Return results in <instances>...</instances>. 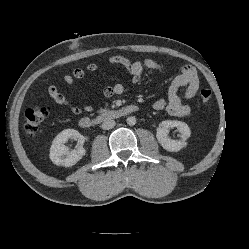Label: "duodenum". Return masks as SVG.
I'll use <instances>...</instances> for the list:
<instances>
[{
    "mask_svg": "<svg viewBox=\"0 0 249 249\" xmlns=\"http://www.w3.org/2000/svg\"><path fill=\"white\" fill-rule=\"evenodd\" d=\"M137 111H139L138 105H127L116 110L102 112L95 117H83L79 120V126L82 129H91L100 125L102 122L120 119Z\"/></svg>",
    "mask_w": 249,
    "mask_h": 249,
    "instance_id": "410a0bca",
    "label": "duodenum"
}]
</instances>
